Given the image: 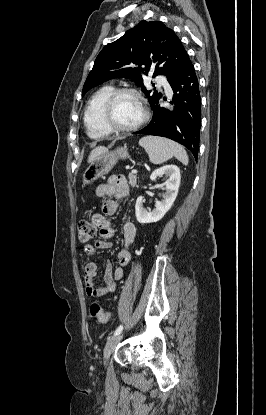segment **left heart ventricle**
<instances>
[{"mask_svg": "<svg viewBox=\"0 0 266 415\" xmlns=\"http://www.w3.org/2000/svg\"><path fill=\"white\" fill-rule=\"evenodd\" d=\"M114 120L120 126H131L137 123L142 116L139 101L131 94L121 95L114 106Z\"/></svg>", "mask_w": 266, "mask_h": 415, "instance_id": "1", "label": "left heart ventricle"}]
</instances>
